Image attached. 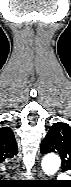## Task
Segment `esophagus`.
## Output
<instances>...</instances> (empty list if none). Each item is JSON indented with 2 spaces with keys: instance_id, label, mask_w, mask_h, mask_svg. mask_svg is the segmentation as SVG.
I'll return each instance as SVG.
<instances>
[{
  "instance_id": "esophagus-1",
  "label": "esophagus",
  "mask_w": 71,
  "mask_h": 187,
  "mask_svg": "<svg viewBox=\"0 0 71 187\" xmlns=\"http://www.w3.org/2000/svg\"><path fill=\"white\" fill-rule=\"evenodd\" d=\"M40 178H44V175H43V173H39V175H38Z\"/></svg>"
}]
</instances>
